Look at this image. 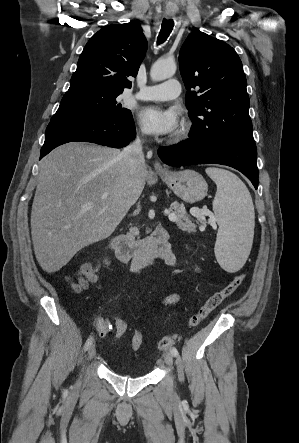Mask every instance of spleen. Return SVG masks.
Here are the masks:
<instances>
[{"label":"spleen","mask_w":299,"mask_h":443,"mask_svg":"<svg viewBox=\"0 0 299 443\" xmlns=\"http://www.w3.org/2000/svg\"><path fill=\"white\" fill-rule=\"evenodd\" d=\"M206 173L216 183L213 211L219 230L215 256L227 272L240 270L251 250L255 213L251 195L245 184L232 172L207 168Z\"/></svg>","instance_id":"spleen-1"}]
</instances>
